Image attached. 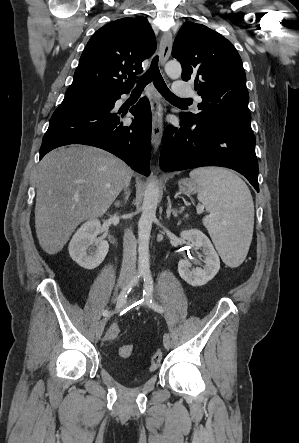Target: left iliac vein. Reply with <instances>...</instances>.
<instances>
[{
  "label": "left iliac vein",
  "mask_w": 299,
  "mask_h": 443,
  "mask_svg": "<svg viewBox=\"0 0 299 443\" xmlns=\"http://www.w3.org/2000/svg\"><path fill=\"white\" fill-rule=\"evenodd\" d=\"M163 344H164V347H165L166 349H169L170 344H171V340H170V335H169V333H165V334H164V337H163Z\"/></svg>",
  "instance_id": "4c4485c4"
}]
</instances>
